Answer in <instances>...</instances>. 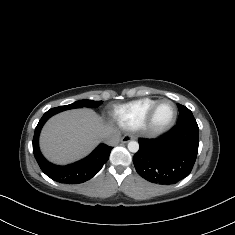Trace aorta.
<instances>
[{
  "instance_id": "aorta-1",
  "label": "aorta",
  "mask_w": 235,
  "mask_h": 235,
  "mask_svg": "<svg viewBox=\"0 0 235 235\" xmlns=\"http://www.w3.org/2000/svg\"><path fill=\"white\" fill-rule=\"evenodd\" d=\"M139 144L136 141H130L128 143V150L132 153H137L139 151Z\"/></svg>"
}]
</instances>
